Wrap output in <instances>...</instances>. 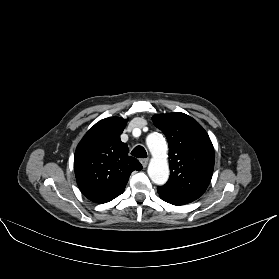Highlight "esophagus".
Returning a JSON list of instances; mask_svg holds the SVG:
<instances>
[{
	"instance_id": "34e87169",
	"label": "esophagus",
	"mask_w": 279,
	"mask_h": 279,
	"mask_svg": "<svg viewBox=\"0 0 279 279\" xmlns=\"http://www.w3.org/2000/svg\"><path fill=\"white\" fill-rule=\"evenodd\" d=\"M140 162H141L142 166L145 168L148 165L149 159L148 158L141 159Z\"/></svg>"
}]
</instances>
